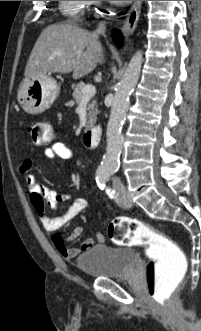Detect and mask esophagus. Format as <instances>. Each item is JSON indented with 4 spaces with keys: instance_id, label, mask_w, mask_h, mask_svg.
Returning <instances> with one entry per match:
<instances>
[{
    "instance_id": "obj_1",
    "label": "esophagus",
    "mask_w": 201,
    "mask_h": 331,
    "mask_svg": "<svg viewBox=\"0 0 201 331\" xmlns=\"http://www.w3.org/2000/svg\"><path fill=\"white\" fill-rule=\"evenodd\" d=\"M142 1H134L123 25L122 30L125 35H130L136 28L140 16V7Z\"/></svg>"
}]
</instances>
